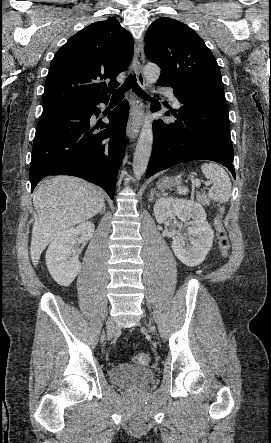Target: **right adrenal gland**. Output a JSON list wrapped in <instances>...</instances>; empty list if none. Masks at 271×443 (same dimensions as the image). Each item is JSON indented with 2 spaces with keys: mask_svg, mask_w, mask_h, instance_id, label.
Returning a JSON list of instances; mask_svg holds the SVG:
<instances>
[{
  "mask_svg": "<svg viewBox=\"0 0 271 443\" xmlns=\"http://www.w3.org/2000/svg\"><path fill=\"white\" fill-rule=\"evenodd\" d=\"M106 208H103V210H100L99 214H105Z\"/></svg>",
  "mask_w": 271,
  "mask_h": 443,
  "instance_id": "1",
  "label": "right adrenal gland"
}]
</instances>
